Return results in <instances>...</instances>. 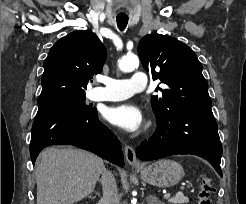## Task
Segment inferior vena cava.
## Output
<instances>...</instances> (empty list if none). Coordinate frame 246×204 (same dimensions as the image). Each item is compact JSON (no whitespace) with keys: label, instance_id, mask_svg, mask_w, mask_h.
I'll return each mask as SVG.
<instances>
[{"label":"inferior vena cava","instance_id":"obj_1","mask_svg":"<svg viewBox=\"0 0 246 204\" xmlns=\"http://www.w3.org/2000/svg\"><path fill=\"white\" fill-rule=\"evenodd\" d=\"M101 184L103 188L101 204H119L117 184L111 172L106 170L103 172L101 177Z\"/></svg>","mask_w":246,"mask_h":204}]
</instances>
